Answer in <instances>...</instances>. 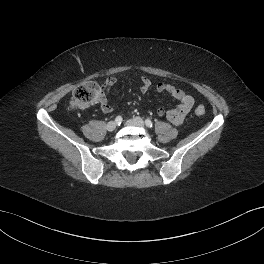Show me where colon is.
<instances>
[{"instance_id":"1","label":"colon","mask_w":264,"mask_h":264,"mask_svg":"<svg viewBox=\"0 0 264 264\" xmlns=\"http://www.w3.org/2000/svg\"><path fill=\"white\" fill-rule=\"evenodd\" d=\"M102 94V87L94 82L89 81L80 86H78L72 96L71 105L72 107L85 108L98 101ZM197 115H203L205 113V108L199 105L195 109Z\"/></svg>"}]
</instances>
